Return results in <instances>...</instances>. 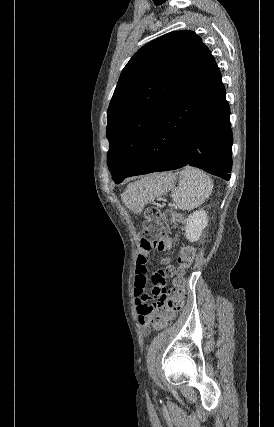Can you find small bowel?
I'll list each match as a JSON object with an SVG mask.
<instances>
[{"label":"small bowel","instance_id":"1","mask_svg":"<svg viewBox=\"0 0 274 427\" xmlns=\"http://www.w3.org/2000/svg\"><path fill=\"white\" fill-rule=\"evenodd\" d=\"M139 253L137 257V265L135 268V277H134V297L136 303V313L137 321L141 327V330L144 334H148L153 328L152 323L150 322V315L155 313V306L160 305L162 302L167 300V295L170 292V287L165 281V277L174 276L175 272L170 270L155 269L153 275H150L147 279L146 272L148 271V266L146 265L149 261L147 251L155 253H167V255H172L174 247L171 244H155L147 246L146 244H141L138 247ZM154 264L160 263L159 257L153 258ZM169 268L173 267L172 263L168 264ZM165 276V277H164ZM147 280L150 284H154L152 287L153 294H149L145 290ZM155 294L158 295V300L154 301L153 297L156 298Z\"/></svg>","mask_w":274,"mask_h":427}]
</instances>
